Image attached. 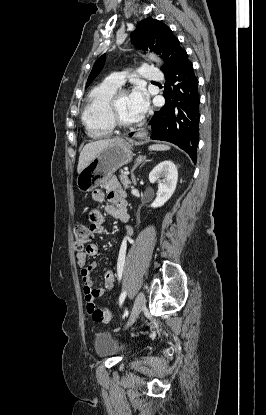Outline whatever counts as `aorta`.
I'll use <instances>...</instances> for the list:
<instances>
[{"instance_id":"aorta-1","label":"aorta","mask_w":266,"mask_h":415,"mask_svg":"<svg viewBox=\"0 0 266 415\" xmlns=\"http://www.w3.org/2000/svg\"><path fill=\"white\" fill-rule=\"evenodd\" d=\"M150 59H152V60H154V61H158V62H159V59H157V58L155 57V55H150Z\"/></svg>"}]
</instances>
